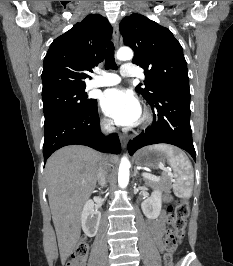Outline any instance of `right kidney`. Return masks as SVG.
Masks as SVG:
<instances>
[{
	"instance_id": "obj_1",
	"label": "right kidney",
	"mask_w": 233,
	"mask_h": 266,
	"mask_svg": "<svg viewBox=\"0 0 233 266\" xmlns=\"http://www.w3.org/2000/svg\"><path fill=\"white\" fill-rule=\"evenodd\" d=\"M100 220L101 213L95 210L94 203L88 200L81 214V224L84 233L89 237L95 236L99 228Z\"/></svg>"
}]
</instances>
